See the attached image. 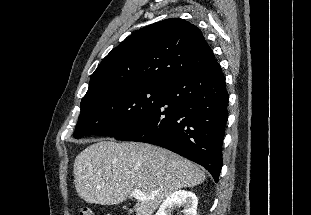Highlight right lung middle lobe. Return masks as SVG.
<instances>
[{
    "instance_id": "obj_1",
    "label": "right lung middle lobe",
    "mask_w": 311,
    "mask_h": 215,
    "mask_svg": "<svg viewBox=\"0 0 311 215\" xmlns=\"http://www.w3.org/2000/svg\"><path fill=\"white\" fill-rule=\"evenodd\" d=\"M163 90V85H141L100 91L84 97L74 137H115L127 131L160 105Z\"/></svg>"
}]
</instances>
